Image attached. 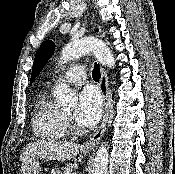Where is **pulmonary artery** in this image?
<instances>
[{"label": "pulmonary artery", "instance_id": "1", "mask_svg": "<svg viewBox=\"0 0 175 174\" xmlns=\"http://www.w3.org/2000/svg\"><path fill=\"white\" fill-rule=\"evenodd\" d=\"M86 77V69L81 65H77L66 72L65 81L69 84H82L85 82Z\"/></svg>", "mask_w": 175, "mask_h": 174}]
</instances>
